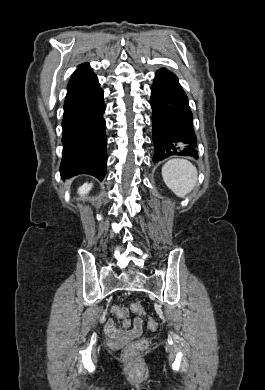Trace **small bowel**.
Masks as SVG:
<instances>
[{
  "instance_id": "obj_1",
  "label": "small bowel",
  "mask_w": 265,
  "mask_h": 390,
  "mask_svg": "<svg viewBox=\"0 0 265 390\" xmlns=\"http://www.w3.org/2000/svg\"><path fill=\"white\" fill-rule=\"evenodd\" d=\"M130 322L128 320H123L120 324L116 323L113 320H109L105 329L107 333L111 335H116L123 338H134L140 335L142 332L143 320L140 317L134 319L133 327L129 329Z\"/></svg>"
}]
</instances>
